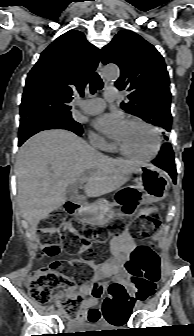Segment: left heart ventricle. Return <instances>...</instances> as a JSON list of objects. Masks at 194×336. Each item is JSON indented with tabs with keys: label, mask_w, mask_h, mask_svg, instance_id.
I'll return each instance as SVG.
<instances>
[{
	"label": "left heart ventricle",
	"mask_w": 194,
	"mask_h": 336,
	"mask_svg": "<svg viewBox=\"0 0 194 336\" xmlns=\"http://www.w3.org/2000/svg\"><path fill=\"white\" fill-rule=\"evenodd\" d=\"M116 141L129 152L148 155L155 145L153 134L144 126L136 123H125Z\"/></svg>",
	"instance_id": "1"
}]
</instances>
